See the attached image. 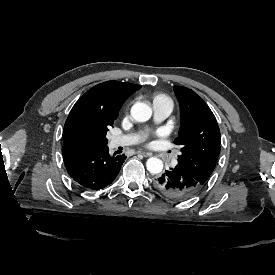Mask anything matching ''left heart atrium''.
I'll list each match as a JSON object with an SVG mask.
<instances>
[{
	"mask_svg": "<svg viewBox=\"0 0 275 275\" xmlns=\"http://www.w3.org/2000/svg\"><path fill=\"white\" fill-rule=\"evenodd\" d=\"M166 132L163 129L156 131L146 130L140 134L141 141L147 144H153L155 138H163L166 136Z\"/></svg>",
	"mask_w": 275,
	"mask_h": 275,
	"instance_id": "1",
	"label": "left heart atrium"
}]
</instances>
